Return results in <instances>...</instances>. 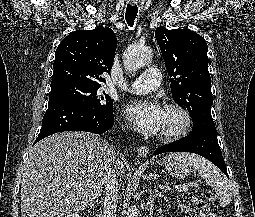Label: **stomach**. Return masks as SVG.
<instances>
[{
  "label": "stomach",
  "mask_w": 255,
  "mask_h": 217,
  "mask_svg": "<svg viewBox=\"0 0 255 217\" xmlns=\"http://www.w3.org/2000/svg\"><path fill=\"white\" fill-rule=\"evenodd\" d=\"M160 166H163L172 176L182 178L190 172V166L185 164L182 161L176 159H164L159 163Z\"/></svg>",
  "instance_id": "obj_1"
}]
</instances>
